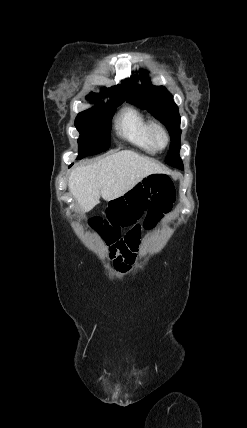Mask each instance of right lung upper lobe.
<instances>
[{
	"label": "right lung upper lobe",
	"mask_w": 247,
	"mask_h": 428,
	"mask_svg": "<svg viewBox=\"0 0 247 428\" xmlns=\"http://www.w3.org/2000/svg\"><path fill=\"white\" fill-rule=\"evenodd\" d=\"M100 95L102 97H110V100L107 103L102 102L106 105L121 104L125 99L121 85H116L111 88H103ZM88 97L93 100L100 99V96L95 93H91Z\"/></svg>",
	"instance_id": "obj_1"
}]
</instances>
